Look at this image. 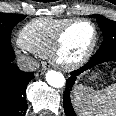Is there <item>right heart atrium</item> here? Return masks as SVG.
Masks as SVG:
<instances>
[{
  "label": "right heart atrium",
  "mask_w": 116,
  "mask_h": 116,
  "mask_svg": "<svg viewBox=\"0 0 116 116\" xmlns=\"http://www.w3.org/2000/svg\"><path fill=\"white\" fill-rule=\"evenodd\" d=\"M21 47V46H20ZM33 53L29 52L28 50L24 49V48H18L16 50V55L20 58H23L25 60H27L29 63L34 64L35 62V58L32 55Z\"/></svg>",
  "instance_id": "right-heart-atrium-1"
}]
</instances>
